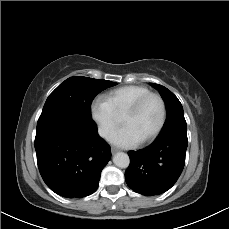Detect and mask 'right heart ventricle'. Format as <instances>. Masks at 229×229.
I'll list each match as a JSON object with an SVG mask.
<instances>
[{
  "label": "right heart ventricle",
  "mask_w": 229,
  "mask_h": 229,
  "mask_svg": "<svg viewBox=\"0 0 229 229\" xmlns=\"http://www.w3.org/2000/svg\"><path fill=\"white\" fill-rule=\"evenodd\" d=\"M150 90L142 85H127L114 89L103 95L112 111L122 119L127 108L139 97Z\"/></svg>",
  "instance_id": "obj_1"
}]
</instances>
